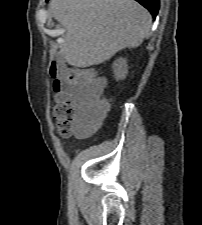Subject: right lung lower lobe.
Instances as JSON below:
<instances>
[{"instance_id": "obj_1", "label": "right lung lower lobe", "mask_w": 202, "mask_h": 225, "mask_svg": "<svg viewBox=\"0 0 202 225\" xmlns=\"http://www.w3.org/2000/svg\"><path fill=\"white\" fill-rule=\"evenodd\" d=\"M145 8H147L155 18L159 10V0H136Z\"/></svg>"}]
</instances>
